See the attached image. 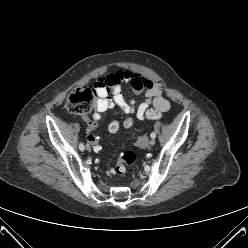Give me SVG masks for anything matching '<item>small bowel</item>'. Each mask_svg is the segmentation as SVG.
I'll list each match as a JSON object with an SVG mask.
<instances>
[{
    "label": "small bowel",
    "instance_id": "1",
    "mask_svg": "<svg viewBox=\"0 0 248 248\" xmlns=\"http://www.w3.org/2000/svg\"><path fill=\"white\" fill-rule=\"evenodd\" d=\"M124 84H129L135 94H144L145 99L138 107L135 106L134 100H127L123 96ZM95 89L97 98L92 119L84 118L88 128L96 129L102 114L115 105L125 114L136 113V117L140 121H143L151 110L163 113L170 108L169 101L163 96V86L160 82L128 70L118 69L115 72L104 74L95 84Z\"/></svg>",
    "mask_w": 248,
    "mask_h": 248
}]
</instances>
